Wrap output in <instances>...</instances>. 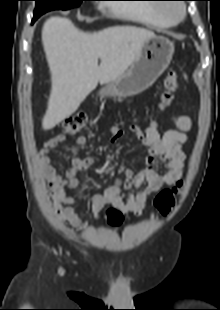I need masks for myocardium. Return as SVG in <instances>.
Here are the masks:
<instances>
[{
  "label": "myocardium",
  "instance_id": "myocardium-1",
  "mask_svg": "<svg viewBox=\"0 0 220 310\" xmlns=\"http://www.w3.org/2000/svg\"><path fill=\"white\" fill-rule=\"evenodd\" d=\"M160 14L172 23H177L184 18L186 9L182 4H165L160 7Z\"/></svg>",
  "mask_w": 220,
  "mask_h": 310
}]
</instances>
